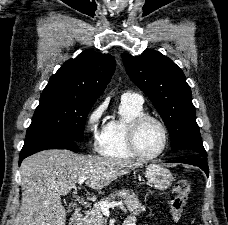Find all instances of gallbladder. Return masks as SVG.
I'll return each mask as SVG.
<instances>
[{"instance_id": "obj_1", "label": "gallbladder", "mask_w": 228, "mask_h": 225, "mask_svg": "<svg viewBox=\"0 0 228 225\" xmlns=\"http://www.w3.org/2000/svg\"><path fill=\"white\" fill-rule=\"evenodd\" d=\"M68 211H71V205H68Z\"/></svg>"}]
</instances>
